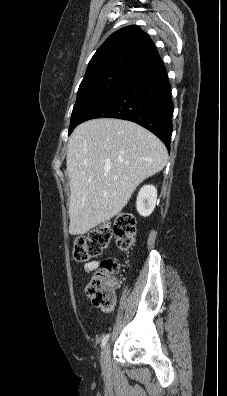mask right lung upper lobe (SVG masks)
<instances>
[{
	"instance_id": "right-lung-upper-lobe-1",
	"label": "right lung upper lobe",
	"mask_w": 227,
	"mask_h": 396,
	"mask_svg": "<svg viewBox=\"0 0 227 396\" xmlns=\"http://www.w3.org/2000/svg\"><path fill=\"white\" fill-rule=\"evenodd\" d=\"M157 55L156 47L138 26H127L111 34L89 62L85 76L109 68L135 70Z\"/></svg>"
}]
</instances>
